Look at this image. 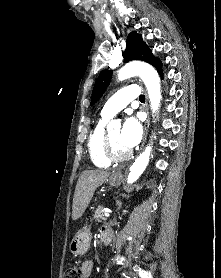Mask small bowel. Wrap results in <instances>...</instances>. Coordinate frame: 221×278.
<instances>
[{"mask_svg": "<svg viewBox=\"0 0 221 278\" xmlns=\"http://www.w3.org/2000/svg\"><path fill=\"white\" fill-rule=\"evenodd\" d=\"M94 264L92 261H85L81 264L80 269L84 275V278H89L93 272Z\"/></svg>", "mask_w": 221, "mask_h": 278, "instance_id": "c3829d8e", "label": "small bowel"}]
</instances>
